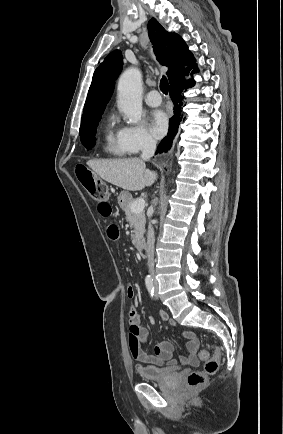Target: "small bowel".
<instances>
[{"mask_svg": "<svg viewBox=\"0 0 283 434\" xmlns=\"http://www.w3.org/2000/svg\"><path fill=\"white\" fill-rule=\"evenodd\" d=\"M98 213L104 218L113 215L112 206L108 201L99 202L97 206ZM107 237L110 241L116 242L119 238V230L115 225H109L106 229ZM127 295L132 300L128 310L129 336L128 344L132 357L140 364L137 365L139 371L143 365H192L197 366L198 340L192 331L182 332V336L187 340V356H181L178 359H172L173 345L169 341L162 342L155 346L154 354H148L143 350L144 344L148 340V331L141 324L140 317L137 313L133 302L134 290L131 286L127 289ZM162 319L166 320L171 326L175 327L174 320L169 319L164 312H160Z\"/></svg>", "mask_w": 283, "mask_h": 434, "instance_id": "1", "label": "small bowel"}]
</instances>
